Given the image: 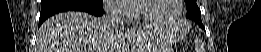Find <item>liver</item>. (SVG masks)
<instances>
[{
    "mask_svg": "<svg viewBox=\"0 0 261 52\" xmlns=\"http://www.w3.org/2000/svg\"><path fill=\"white\" fill-rule=\"evenodd\" d=\"M152 33L146 27L124 32L121 27L109 26L104 17L87 13H60L41 25L36 52H121L125 38L141 47Z\"/></svg>",
    "mask_w": 261,
    "mask_h": 52,
    "instance_id": "liver-1",
    "label": "liver"
}]
</instances>
